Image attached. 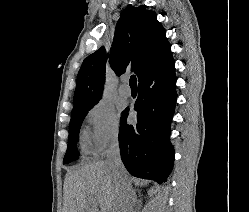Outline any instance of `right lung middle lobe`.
<instances>
[{
	"label": "right lung middle lobe",
	"mask_w": 249,
	"mask_h": 212,
	"mask_svg": "<svg viewBox=\"0 0 249 212\" xmlns=\"http://www.w3.org/2000/svg\"><path fill=\"white\" fill-rule=\"evenodd\" d=\"M92 106L81 108V109H74L71 113V120L69 124V137H68V147L66 154L64 156L63 162L68 164L75 159H77L79 153L77 151V141H78V134L81 127V124L90 110Z\"/></svg>",
	"instance_id": "dd1d6c3e"
}]
</instances>
